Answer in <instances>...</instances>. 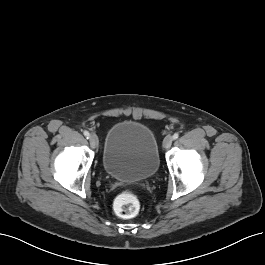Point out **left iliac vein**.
<instances>
[{
	"label": "left iliac vein",
	"instance_id": "4c4485c4",
	"mask_svg": "<svg viewBox=\"0 0 265 265\" xmlns=\"http://www.w3.org/2000/svg\"><path fill=\"white\" fill-rule=\"evenodd\" d=\"M173 138L172 136H166L163 140V148L164 149H168L170 148L171 144H172Z\"/></svg>",
	"mask_w": 265,
	"mask_h": 265
}]
</instances>
